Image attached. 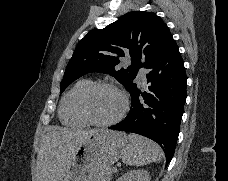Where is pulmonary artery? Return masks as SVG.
Listing matches in <instances>:
<instances>
[{
    "label": "pulmonary artery",
    "instance_id": "1",
    "mask_svg": "<svg viewBox=\"0 0 228 181\" xmlns=\"http://www.w3.org/2000/svg\"><path fill=\"white\" fill-rule=\"evenodd\" d=\"M140 82H141L142 85H146L145 79L142 78V77L140 78Z\"/></svg>",
    "mask_w": 228,
    "mask_h": 181
}]
</instances>
